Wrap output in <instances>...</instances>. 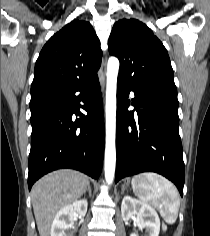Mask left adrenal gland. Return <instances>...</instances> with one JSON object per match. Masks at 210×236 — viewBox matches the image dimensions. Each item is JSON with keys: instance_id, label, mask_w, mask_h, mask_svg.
Listing matches in <instances>:
<instances>
[{"instance_id": "left-adrenal-gland-1", "label": "left adrenal gland", "mask_w": 210, "mask_h": 236, "mask_svg": "<svg viewBox=\"0 0 210 236\" xmlns=\"http://www.w3.org/2000/svg\"><path fill=\"white\" fill-rule=\"evenodd\" d=\"M124 191H125V187L123 186V187L121 188V194H123Z\"/></svg>"}]
</instances>
